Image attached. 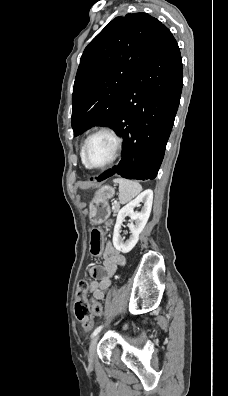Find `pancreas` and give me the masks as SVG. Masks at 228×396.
Returning <instances> with one entry per match:
<instances>
[{"label":"pancreas","instance_id":"1","mask_svg":"<svg viewBox=\"0 0 228 396\" xmlns=\"http://www.w3.org/2000/svg\"><path fill=\"white\" fill-rule=\"evenodd\" d=\"M119 208H120V204L118 203H114L112 205V211L114 212V214H116L119 211Z\"/></svg>","mask_w":228,"mask_h":396}]
</instances>
